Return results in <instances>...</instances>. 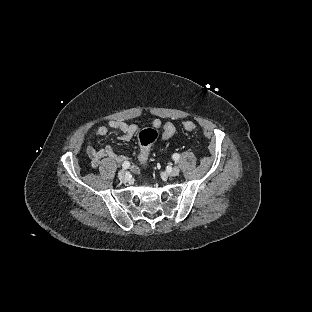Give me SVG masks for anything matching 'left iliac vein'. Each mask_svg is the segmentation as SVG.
Returning <instances> with one entry per match:
<instances>
[{"mask_svg":"<svg viewBox=\"0 0 312 312\" xmlns=\"http://www.w3.org/2000/svg\"><path fill=\"white\" fill-rule=\"evenodd\" d=\"M179 173H180V168L178 166H174L168 171V174L170 176H177Z\"/></svg>","mask_w":312,"mask_h":312,"instance_id":"4c4485c4","label":"left iliac vein"}]
</instances>
